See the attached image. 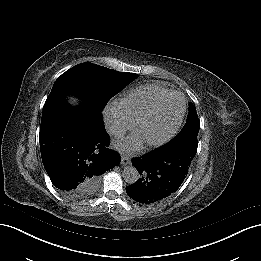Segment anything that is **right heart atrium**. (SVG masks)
I'll list each match as a JSON object with an SVG mask.
<instances>
[{
    "mask_svg": "<svg viewBox=\"0 0 261 261\" xmlns=\"http://www.w3.org/2000/svg\"><path fill=\"white\" fill-rule=\"evenodd\" d=\"M102 117L108 129L116 136L123 135L128 129V122L116 110L115 103H108L102 111Z\"/></svg>",
    "mask_w": 261,
    "mask_h": 261,
    "instance_id": "1",
    "label": "right heart atrium"
}]
</instances>
